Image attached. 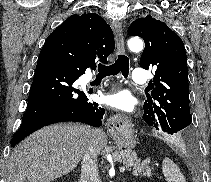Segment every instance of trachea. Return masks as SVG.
Here are the masks:
<instances>
[{"label":"trachea","instance_id":"trachea-1","mask_svg":"<svg viewBox=\"0 0 211 182\" xmlns=\"http://www.w3.org/2000/svg\"><path fill=\"white\" fill-rule=\"evenodd\" d=\"M99 75L110 76L117 75L119 72L127 78L129 74V58L123 54L118 55V59L112 65H102L98 64Z\"/></svg>","mask_w":211,"mask_h":182}]
</instances>
